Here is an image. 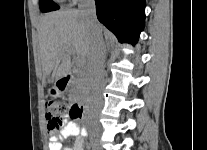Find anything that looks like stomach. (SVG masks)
<instances>
[{
  "instance_id": "obj_1",
  "label": "stomach",
  "mask_w": 207,
  "mask_h": 150,
  "mask_svg": "<svg viewBox=\"0 0 207 150\" xmlns=\"http://www.w3.org/2000/svg\"><path fill=\"white\" fill-rule=\"evenodd\" d=\"M49 93L54 97L61 95V91L56 85L49 89Z\"/></svg>"
}]
</instances>
